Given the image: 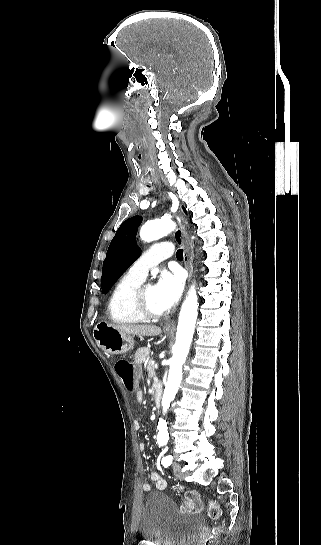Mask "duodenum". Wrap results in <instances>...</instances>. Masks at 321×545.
<instances>
[{
    "mask_svg": "<svg viewBox=\"0 0 321 545\" xmlns=\"http://www.w3.org/2000/svg\"><path fill=\"white\" fill-rule=\"evenodd\" d=\"M153 393H154L155 401L157 405L159 406L161 404V399H162V386L159 383H156L154 385Z\"/></svg>",
    "mask_w": 321,
    "mask_h": 545,
    "instance_id": "410a0bca",
    "label": "duodenum"
}]
</instances>
